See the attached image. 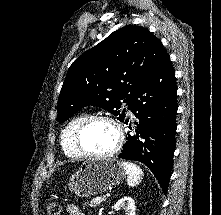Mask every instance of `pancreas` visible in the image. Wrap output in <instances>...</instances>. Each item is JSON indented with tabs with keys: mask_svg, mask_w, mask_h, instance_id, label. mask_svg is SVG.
<instances>
[{
	"mask_svg": "<svg viewBox=\"0 0 221 215\" xmlns=\"http://www.w3.org/2000/svg\"><path fill=\"white\" fill-rule=\"evenodd\" d=\"M105 200H106V198H104V197L94 198L90 201V206L96 207L97 205H100L101 203H103Z\"/></svg>",
	"mask_w": 221,
	"mask_h": 215,
	"instance_id": "1",
	"label": "pancreas"
}]
</instances>
